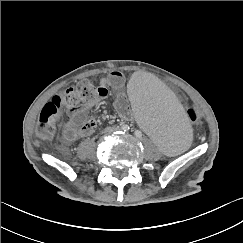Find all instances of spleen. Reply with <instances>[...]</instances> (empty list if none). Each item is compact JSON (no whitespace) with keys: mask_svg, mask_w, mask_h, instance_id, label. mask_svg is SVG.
Returning <instances> with one entry per match:
<instances>
[{"mask_svg":"<svg viewBox=\"0 0 243 243\" xmlns=\"http://www.w3.org/2000/svg\"><path fill=\"white\" fill-rule=\"evenodd\" d=\"M132 116L162 153L177 155L191 145L193 128L167 83L152 73L135 75L128 87Z\"/></svg>","mask_w":243,"mask_h":243,"instance_id":"obj_1","label":"spleen"}]
</instances>
